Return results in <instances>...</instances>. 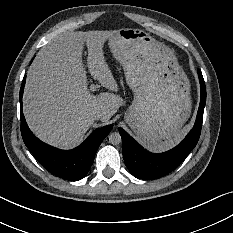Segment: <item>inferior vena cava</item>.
<instances>
[{
	"instance_id": "inferior-vena-cava-1",
	"label": "inferior vena cava",
	"mask_w": 233,
	"mask_h": 233,
	"mask_svg": "<svg viewBox=\"0 0 233 233\" xmlns=\"http://www.w3.org/2000/svg\"><path fill=\"white\" fill-rule=\"evenodd\" d=\"M90 117L92 120H99L102 117V113L99 111H96L92 113Z\"/></svg>"
}]
</instances>
